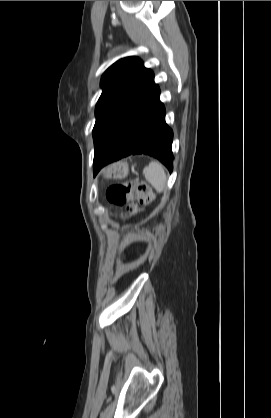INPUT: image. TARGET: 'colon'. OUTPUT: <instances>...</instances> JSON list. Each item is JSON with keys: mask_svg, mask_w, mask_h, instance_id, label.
Segmentation results:
<instances>
[{"mask_svg": "<svg viewBox=\"0 0 271 418\" xmlns=\"http://www.w3.org/2000/svg\"><path fill=\"white\" fill-rule=\"evenodd\" d=\"M108 201L114 205H126L129 215L139 212L141 206L151 202L153 194L149 185L143 181L120 182L111 185L106 191ZM137 198L138 204L131 201Z\"/></svg>", "mask_w": 271, "mask_h": 418, "instance_id": "colon-1", "label": "colon"}]
</instances>
